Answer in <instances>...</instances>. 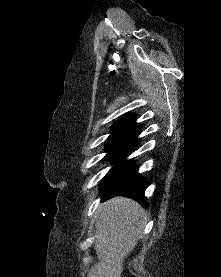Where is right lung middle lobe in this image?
I'll return each instance as SVG.
<instances>
[{
    "instance_id": "obj_1",
    "label": "right lung middle lobe",
    "mask_w": 221,
    "mask_h": 277,
    "mask_svg": "<svg viewBox=\"0 0 221 277\" xmlns=\"http://www.w3.org/2000/svg\"><path fill=\"white\" fill-rule=\"evenodd\" d=\"M139 125L113 126L111 135L106 141L107 155L105 160L117 162L107 175H110L125 163V158L135 150Z\"/></svg>"
}]
</instances>
